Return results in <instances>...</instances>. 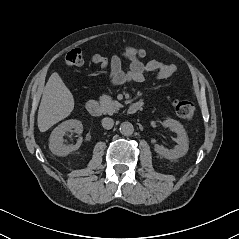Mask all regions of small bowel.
I'll use <instances>...</instances> for the list:
<instances>
[{
	"label": "small bowel",
	"mask_w": 239,
	"mask_h": 239,
	"mask_svg": "<svg viewBox=\"0 0 239 239\" xmlns=\"http://www.w3.org/2000/svg\"><path fill=\"white\" fill-rule=\"evenodd\" d=\"M122 59L130 60V65L126 71L122 69ZM91 61L100 66L104 78L111 86L131 81L141 83L144 81L146 73H153L158 79L171 78L175 73L173 65L158 60L143 62L129 52H123L111 58L94 54Z\"/></svg>",
	"instance_id": "c3829d8e"
}]
</instances>
